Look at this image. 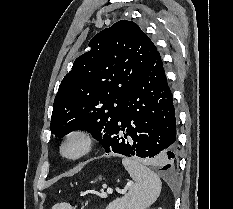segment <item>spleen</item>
<instances>
[{"label": "spleen", "instance_id": "3e777b00", "mask_svg": "<svg viewBox=\"0 0 233 209\" xmlns=\"http://www.w3.org/2000/svg\"><path fill=\"white\" fill-rule=\"evenodd\" d=\"M122 164L134 180L127 194L114 200L106 209H146L160 195L161 180L152 170L135 159L123 158ZM52 209H71L67 203H60Z\"/></svg>", "mask_w": 233, "mask_h": 209}]
</instances>
